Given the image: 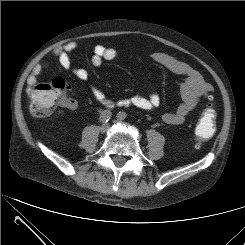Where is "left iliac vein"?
I'll use <instances>...</instances> for the list:
<instances>
[{"mask_svg": "<svg viewBox=\"0 0 245 245\" xmlns=\"http://www.w3.org/2000/svg\"><path fill=\"white\" fill-rule=\"evenodd\" d=\"M116 122H121V123H122V122H123V119L117 117V118H116Z\"/></svg>", "mask_w": 245, "mask_h": 245, "instance_id": "obj_1", "label": "left iliac vein"}]
</instances>
